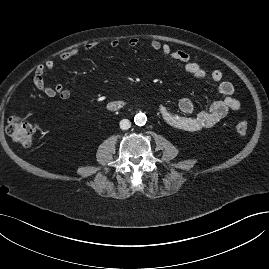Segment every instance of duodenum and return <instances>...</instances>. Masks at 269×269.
<instances>
[{
    "mask_svg": "<svg viewBox=\"0 0 269 269\" xmlns=\"http://www.w3.org/2000/svg\"><path fill=\"white\" fill-rule=\"evenodd\" d=\"M125 105L126 103L122 100H114L107 104V108L108 110L115 112L122 109Z\"/></svg>",
    "mask_w": 269,
    "mask_h": 269,
    "instance_id": "obj_1",
    "label": "duodenum"
}]
</instances>
